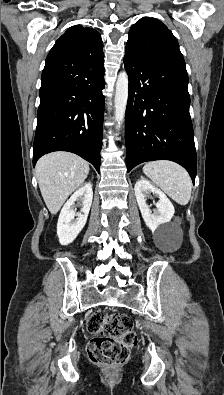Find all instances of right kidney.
<instances>
[{"label": "right kidney", "mask_w": 224, "mask_h": 395, "mask_svg": "<svg viewBox=\"0 0 224 395\" xmlns=\"http://www.w3.org/2000/svg\"><path fill=\"white\" fill-rule=\"evenodd\" d=\"M93 199L91 182L86 183L70 197L63 206L57 223V235L62 245L72 243L84 228ZM76 201L82 202L80 212L76 213L74 205ZM75 217H77L75 219Z\"/></svg>", "instance_id": "ca27d5eb"}]
</instances>
